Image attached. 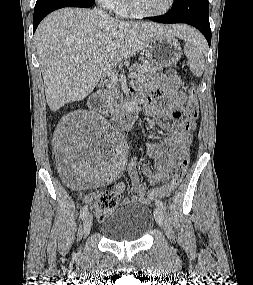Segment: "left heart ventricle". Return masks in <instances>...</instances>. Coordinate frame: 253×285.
<instances>
[{
    "label": "left heart ventricle",
    "instance_id": "1",
    "mask_svg": "<svg viewBox=\"0 0 253 285\" xmlns=\"http://www.w3.org/2000/svg\"><path fill=\"white\" fill-rule=\"evenodd\" d=\"M138 9L144 12H159L165 9L169 0H135Z\"/></svg>",
    "mask_w": 253,
    "mask_h": 285
}]
</instances>
